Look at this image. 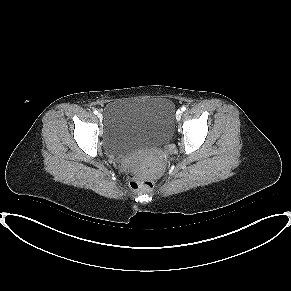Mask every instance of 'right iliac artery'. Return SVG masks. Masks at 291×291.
<instances>
[{"instance_id":"obj_1","label":"right iliac artery","mask_w":291,"mask_h":291,"mask_svg":"<svg viewBox=\"0 0 291 291\" xmlns=\"http://www.w3.org/2000/svg\"><path fill=\"white\" fill-rule=\"evenodd\" d=\"M94 114H96V115H97V114H98V111H97V110H94Z\"/></svg>"}]
</instances>
